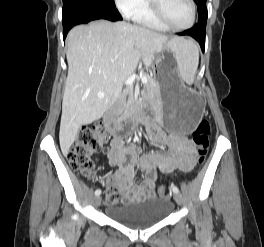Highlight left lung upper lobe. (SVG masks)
<instances>
[{
	"instance_id": "5c2ea615",
	"label": "left lung upper lobe",
	"mask_w": 264,
	"mask_h": 247,
	"mask_svg": "<svg viewBox=\"0 0 264 247\" xmlns=\"http://www.w3.org/2000/svg\"><path fill=\"white\" fill-rule=\"evenodd\" d=\"M197 4L199 19L198 22L206 23L207 20V0H194Z\"/></svg>"
}]
</instances>
